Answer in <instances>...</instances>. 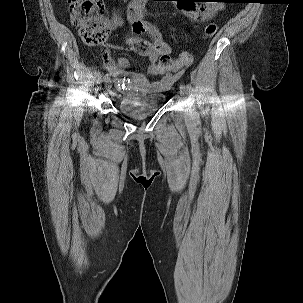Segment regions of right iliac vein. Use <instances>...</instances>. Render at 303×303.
<instances>
[{
    "label": "right iliac vein",
    "instance_id": "right-iliac-vein-1",
    "mask_svg": "<svg viewBox=\"0 0 303 303\" xmlns=\"http://www.w3.org/2000/svg\"><path fill=\"white\" fill-rule=\"evenodd\" d=\"M111 86H112V82H111L110 79H108L107 81H105V88H106V90H110Z\"/></svg>",
    "mask_w": 303,
    "mask_h": 303
}]
</instances>
